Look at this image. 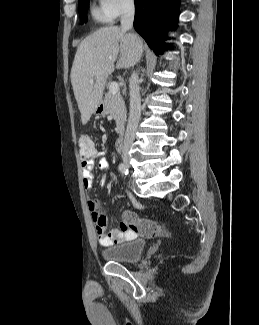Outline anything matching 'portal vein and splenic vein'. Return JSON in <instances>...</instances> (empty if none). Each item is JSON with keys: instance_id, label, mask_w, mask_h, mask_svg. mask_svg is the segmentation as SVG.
<instances>
[{"instance_id": "obj_1", "label": "portal vein and splenic vein", "mask_w": 259, "mask_h": 325, "mask_svg": "<svg viewBox=\"0 0 259 325\" xmlns=\"http://www.w3.org/2000/svg\"><path fill=\"white\" fill-rule=\"evenodd\" d=\"M93 82V80L91 81ZM119 90V84L117 82H111V84L109 85V91L112 93V94H116Z\"/></svg>"}]
</instances>
